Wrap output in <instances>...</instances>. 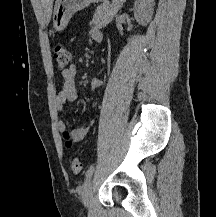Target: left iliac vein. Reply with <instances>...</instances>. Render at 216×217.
<instances>
[{
    "label": "left iliac vein",
    "instance_id": "obj_1",
    "mask_svg": "<svg viewBox=\"0 0 216 217\" xmlns=\"http://www.w3.org/2000/svg\"><path fill=\"white\" fill-rule=\"evenodd\" d=\"M92 193H93V184H92V179L90 178L86 182V185L83 190V195H82V201L86 207H89L91 205Z\"/></svg>",
    "mask_w": 216,
    "mask_h": 217
}]
</instances>
